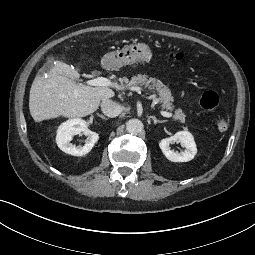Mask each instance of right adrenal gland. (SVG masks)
<instances>
[{
	"mask_svg": "<svg viewBox=\"0 0 255 255\" xmlns=\"http://www.w3.org/2000/svg\"><path fill=\"white\" fill-rule=\"evenodd\" d=\"M100 118H102L103 120H108V118H106L105 116L103 115H98Z\"/></svg>",
	"mask_w": 255,
	"mask_h": 255,
	"instance_id": "2a0ac1e0",
	"label": "right adrenal gland"
}]
</instances>
